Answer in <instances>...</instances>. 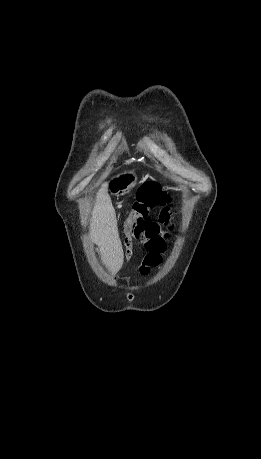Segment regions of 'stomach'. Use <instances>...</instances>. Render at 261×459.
<instances>
[{"label": "stomach", "instance_id": "stomach-1", "mask_svg": "<svg viewBox=\"0 0 261 459\" xmlns=\"http://www.w3.org/2000/svg\"><path fill=\"white\" fill-rule=\"evenodd\" d=\"M137 175L134 171H125L114 176L107 183L110 194L120 197L129 193L136 185Z\"/></svg>", "mask_w": 261, "mask_h": 459}]
</instances>
